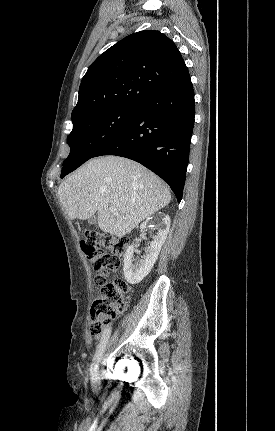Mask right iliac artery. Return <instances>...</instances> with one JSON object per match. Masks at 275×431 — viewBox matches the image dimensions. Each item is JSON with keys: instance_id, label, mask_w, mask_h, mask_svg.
I'll use <instances>...</instances> for the list:
<instances>
[{"instance_id": "obj_1", "label": "right iliac artery", "mask_w": 275, "mask_h": 431, "mask_svg": "<svg viewBox=\"0 0 275 431\" xmlns=\"http://www.w3.org/2000/svg\"><path fill=\"white\" fill-rule=\"evenodd\" d=\"M110 333H111V327L107 326L105 328V330L103 331L100 343L98 344L96 353L93 357L90 371H91L92 378L94 380H96L98 378L99 362H100L102 355L104 353V350H105L106 344L108 342Z\"/></svg>"}]
</instances>
